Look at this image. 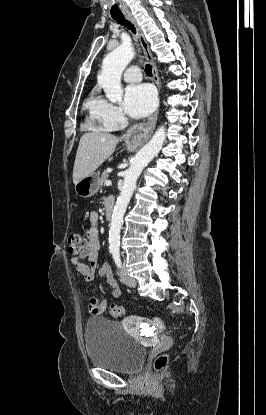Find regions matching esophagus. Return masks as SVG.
I'll return each mask as SVG.
<instances>
[{
    "instance_id": "esophagus-1",
    "label": "esophagus",
    "mask_w": 266,
    "mask_h": 415,
    "mask_svg": "<svg viewBox=\"0 0 266 415\" xmlns=\"http://www.w3.org/2000/svg\"><path fill=\"white\" fill-rule=\"evenodd\" d=\"M125 17L135 26L137 30L139 42L143 49L145 58L147 62L152 66L153 81L155 82L158 88V91L160 93V82H159L158 70L153 60V56H152V53L149 47V43L146 40L142 29L138 25L133 15L128 13V14H125ZM157 116H158V109L153 113V115L148 119L146 123H140V124H136L130 127L124 135V139L128 142V144L132 146H140L146 140H148L155 129L156 122H157Z\"/></svg>"
}]
</instances>
